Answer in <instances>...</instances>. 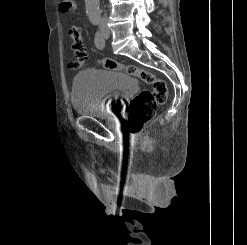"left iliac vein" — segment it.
Segmentation results:
<instances>
[{"label": "left iliac vein", "mask_w": 247, "mask_h": 245, "mask_svg": "<svg viewBox=\"0 0 247 245\" xmlns=\"http://www.w3.org/2000/svg\"><path fill=\"white\" fill-rule=\"evenodd\" d=\"M103 35H104V38L105 39H108L109 38L110 32H109V30L107 28L105 29Z\"/></svg>", "instance_id": "1"}]
</instances>
